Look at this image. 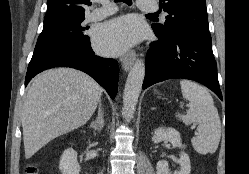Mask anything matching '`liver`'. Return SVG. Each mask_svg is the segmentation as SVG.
I'll return each mask as SVG.
<instances>
[{
  "mask_svg": "<svg viewBox=\"0 0 249 174\" xmlns=\"http://www.w3.org/2000/svg\"><path fill=\"white\" fill-rule=\"evenodd\" d=\"M102 88L87 74L56 68L31 84L21 112L25 158L54 138L83 126L93 115Z\"/></svg>",
  "mask_w": 249,
  "mask_h": 174,
  "instance_id": "6515ba94",
  "label": "liver"
}]
</instances>
